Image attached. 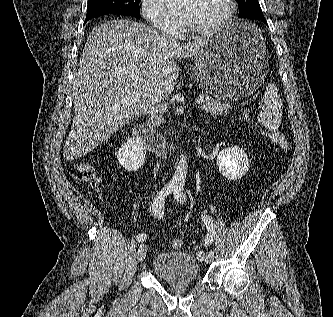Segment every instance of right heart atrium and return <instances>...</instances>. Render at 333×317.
Instances as JSON below:
<instances>
[{"instance_id":"obj_1","label":"right heart atrium","mask_w":333,"mask_h":317,"mask_svg":"<svg viewBox=\"0 0 333 317\" xmlns=\"http://www.w3.org/2000/svg\"><path fill=\"white\" fill-rule=\"evenodd\" d=\"M140 8L144 19L159 31L169 35L180 33L181 23L164 9L159 0H141Z\"/></svg>"}]
</instances>
